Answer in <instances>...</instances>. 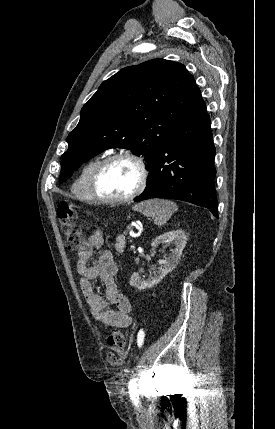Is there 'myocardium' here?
I'll use <instances>...</instances> for the list:
<instances>
[{
    "mask_svg": "<svg viewBox=\"0 0 275 429\" xmlns=\"http://www.w3.org/2000/svg\"><path fill=\"white\" fill-rule=\"evenodd\" d=\"M117 160H128L134 163L139 172V180L135 189L128 195L119 198H108L100 195L98 191V179L102 171L112 162ZM148 179V170L141 157L131 152H119L111 154L103 158L93 169L90 178H89V192L92 199L98 203L102 204H122L129 202L139 196L146 187Z\"/></svg>",
    "mask_w": 275,
    "mask_h": 429,
    "instance_id": "myocardium-1",
    "label": "myocardium"
}]
</instances>
